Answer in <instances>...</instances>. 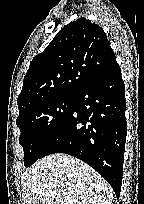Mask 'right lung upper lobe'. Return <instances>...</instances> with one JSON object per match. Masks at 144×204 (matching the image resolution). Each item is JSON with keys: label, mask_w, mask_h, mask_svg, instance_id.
I'll use <instances>...</instances> for the list:
<instances>
[{"label": "right lung upper lobe", "mask_w": 144, "mask_h": 204, "mask_svg": "<svg viewBox=\"0 0 144 204\" xmlns=\"http://www.w3.org/2000/svg\"><path fill=\"white\" fill-rule=\"evenodd\" d=\"M116 62L103 29L79 18L62 28L35 56L24 77L19 115L57 96H76Z\"/></svg>", "instance_id": "obj_1"}]
</instances>
